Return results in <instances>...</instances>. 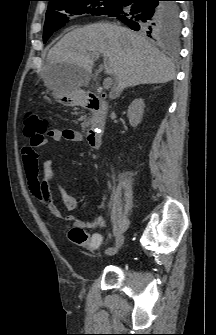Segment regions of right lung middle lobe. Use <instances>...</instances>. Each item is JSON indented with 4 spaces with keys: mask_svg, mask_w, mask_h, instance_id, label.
I'll return each instance as SVG.
<instances>
[{
    "mask_svg": "<svg viewBox=\"0 0 216 335\" xmlns=\"http://www.w3.org/2000/svg\"><path fill=\"white\" fill-rule=\"evenodd\" d=\"M119 2L120 0H55L51 2L46 12L43 35L44 43H46L53 32L63 27L71 16L88 13L92 15H108ZM173 5L177 6L176 3ZM179 30L180 25L177 24L174 29L164 31L159 35L177 36Z\"/></svg>",
    "mask_w": 216,
    "mask_h": 335,
    "instance_id": "right-lung-middle-lobe-1",
    "label": "right lung middle lobe"
}]
</instances>
